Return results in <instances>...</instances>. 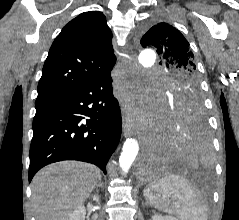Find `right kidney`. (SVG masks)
<instances>
[{"label":"right kidney","mask_w":239,"mask_h":220,"mask_svg":"<svg viewBox=\"0 0 239 220\" xmlns=\"http://www.w3.org/2000/svg\"><path fill=\"white\" fill-rule=\"evenodd\" d=\"M94 201H99V196H93ZM86 210L83 205L77 207V209L71 214L70 220H85Z\"/></svg>","instance_id":"obj_1"}]
</instances>
